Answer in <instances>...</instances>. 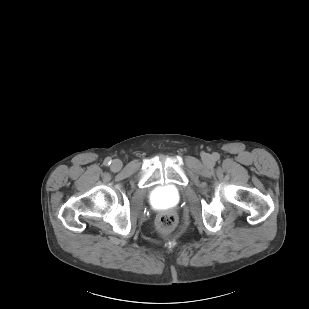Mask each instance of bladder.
<instances>
[{"mask_svg": "<svg viewBox=\"0 0 309 309\" xmlns=\"http://www.w3.org/2000/svg\"><path fill=\"white\" fill-rule=\"evenodd\" d=\"M179 199V193L168 185L156 189L152 194V202L156 206L176 204Z\"/></svg>", "mask_w": 309, "mask_h": 309, "instance_id": "obj_1", "label": "bladder"}]
</instances>
